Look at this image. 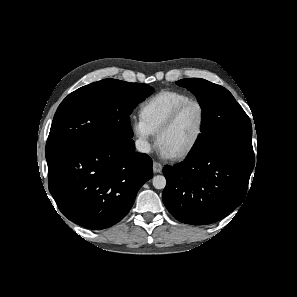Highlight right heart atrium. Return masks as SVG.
I'll return each instance as SVG.
<instances>
[{"instance_id": "right-heart-atrium-1", "label": "right heart atrium", "mask_w": 297, "mask_h": 297, "mask_svg": "<svg viewBox=\"0 0 297 297\" xmlns=\"http://www.w3.org/2000/svg\"><path fill=\"white\" fill-rule=\"evenodd\" d=\"M130 127L136 138L138 149L143 153H148L152 146L154 133L141 117H133L130 121Z\"/></svg>"}]
</instances>
